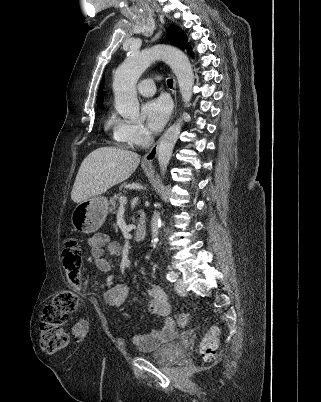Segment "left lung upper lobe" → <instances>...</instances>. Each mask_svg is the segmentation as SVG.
Wrapping results in <instances>:
<instances>
[{
  "instance_id": "obj_1",
  "label": "left lung upper lobe",
  "mask_w": 321,
  "mask_h": 402,
  "mask_svg": "<svg viewBox=\"0 0 321 402\" xmlns=\"http://www.w3.org/2000/svg\"><path fill=\"white\" fill-rule=\"evenodd\" d=\"M168 38L172 44L180 48H186L188 52H191L188 47L185 33L179 27L172 25L168 31Z\"/></svg>"
}]
</instances>
